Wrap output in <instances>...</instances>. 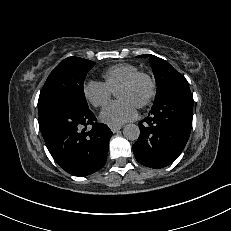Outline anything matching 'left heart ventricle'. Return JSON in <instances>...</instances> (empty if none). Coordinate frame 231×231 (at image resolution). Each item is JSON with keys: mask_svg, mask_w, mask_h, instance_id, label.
<instances>
[{"mask_svg": "<svg viewBox=\"0 0 231 231\" xmlns=\"http://www.w3.org/2000/svg\"><path fill=\"white\" fill-rule=\"evenodd\" d=\"M148 90L147 81L141 80L132 87L117 89L115 95L118 99L128 100L137 107L147 96Z\"/></svg>", "mask_w": 231, "mask_h": 231, "instance_id": "1", "label": "left heart ventricle"}]
</instances>
